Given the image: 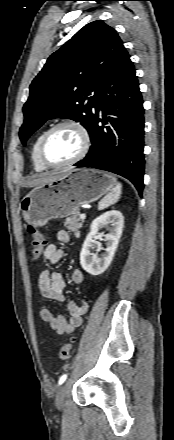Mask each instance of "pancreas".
I'll use <instances>...</instances> for the list:
<instances>
[{"label": "pancreas", "instance_id": "obj_1", "mask_svg": "<svg viewBox=\"0 0 174 440\" xmlns=\"http://www.w3.org/2000/svg\"><path fill=\"white\" fill-rule=\"evenodd\" d=\"M82 225L83 221L79 217V211H76L64 221L66 229H68L69 232H73L76 237L80 236V228Z\"/></svg>", "mask_w": 174, "mask_h": 440}]
</instances>
